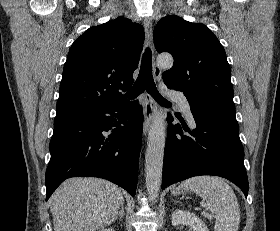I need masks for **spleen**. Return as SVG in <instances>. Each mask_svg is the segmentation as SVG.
Listing matches in <instances>:
<instances>
[{
    "label": "spleen",
    "mask_w": 280,
    "mask_h": 231,
    "mask_svg": "<svg viewBox=\"0 0 280 231\" xmlns=\"http://www.w3.org/2000/svg\"><path fill=\"white\" fill-rule=\"evenodd\" d=\"M181 189L199 193L216 213L215 231H238L240 207L237 197L230 185L216 175H196L180 183Z\"/></svg>",
    "instance_id": "obj_1"
}]
</instances>
